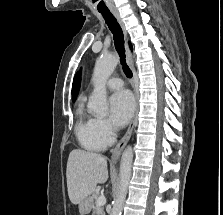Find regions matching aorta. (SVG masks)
<instances>
[{"label": "aorta", "mask_w": 223, "mask_h": 215, "mask_svg": "<svg viewBox=\"0 0 223 215\" xmlns=\"http://www.w3.org/2000/svg\"><path fill=\"white\" fill-rule=\"evenodd\" d=\"M118 62L119 60L114 54H105L96 60L92 78L94 90L89 98L88 109L94 111L99 117H104L108 113L106 82L113 74ZM132 159L133 149L131 145H127L121 155L119 191L110 215H121L131 179Z\"/></svg>", "instance_id": "obj_1"}]
</instances>
